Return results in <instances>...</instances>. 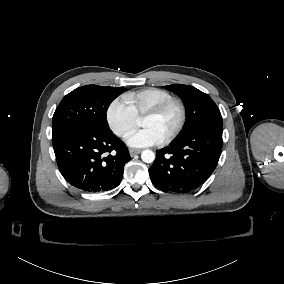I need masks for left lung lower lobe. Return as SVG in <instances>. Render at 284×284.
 Instances as JSON below:
<instances>
[{"label":"left lung lower lobe","instance_id":"1","mask_svg":"<svg viewBox=\"0 0 284 284\" xmlns=\"http://www.w3.org/2000/svg\"><path fill=\"white\" fill-rule=\"evenodd\" d=\"M222 151V127L197 128L156 151L149 169L160 190L187 193L199 187L215 170Z\"/></svg>","mask_w":284,"mask_h":284}]
</instances>
